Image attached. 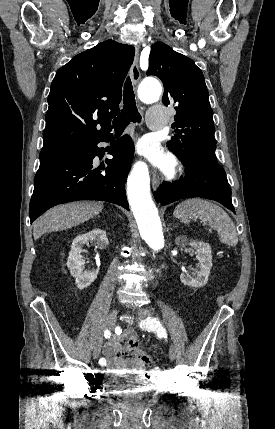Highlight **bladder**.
I'll return each instance as SVG.
<instances>
[{"instance_id":"1","label":"bladder","mask_w":275,"mask_h":429,"mask_svg":"<svg viewBox=\"0 0 275 429\" xmlns=\"http://www.w3.org/2000/svg\"><path fill=\"white\" fill-rule=\"evenodd\" d=\"M150 377H109L108 398H120L121 403H142L158 393V384H150Z\"/></svg>"}]
</instances>
